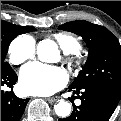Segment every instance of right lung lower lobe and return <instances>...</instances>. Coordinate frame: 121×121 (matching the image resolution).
<instances>
[{"label":"right lung lower lobe","instance_id":"98d812e1","mask_svg":"<svg viewBox=\"0 0 121 121\" xmlns=\"http://www.w3.org/2000/svg\"><path fill=\"white\" fill-rule=\"evenodd\" d=\"M17 81V75L12 68H1V87H13ZM29 99H20L15 96L13 91H1V121H18Z\"/></svg>","mask_w":121,"mask_h":121}]
</instances>
